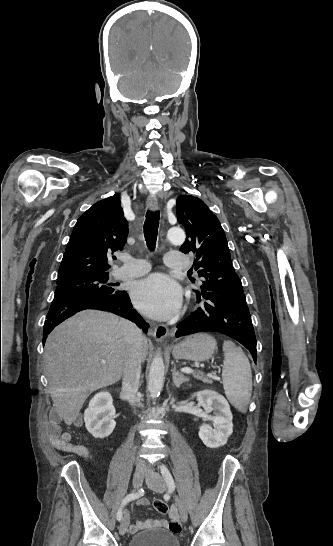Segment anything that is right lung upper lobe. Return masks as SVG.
<instances>
[{"instance_id":"right-lung-upper-lobe-1","label":"right lung upper lobe","mask_w":333,"mask_h":546,"mask_svg":"<svg viewBox=\"0 0 333 546\" xmlns=\"http://www.w3.org/2000/svg\"><path fill=\"white\" fill-rule=\"evenodd\" d=\"M128 223L114 195L98 201L74 226L58 271V279L75 275L108 273L111 253L122 250Z\"/></svg>"}]
</instances>
